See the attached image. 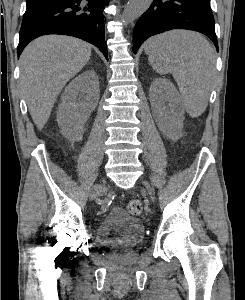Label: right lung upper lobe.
<instances>
[{
    "mask_svg": "<svg viewBox=\"0 0 245 300\" xmlns=\"http://www.w3.org/2000/svg\"><path fill=\"white\" fill-rule=\"evenodd\" d=\"M27 1H42V0H27Z\"/></svg>",
    "mask_w": 245,
    "mask_h": 300,
    "instance_id": "cb5924a9",
    "label": "right lung upper lobe"
}]
</instances>
